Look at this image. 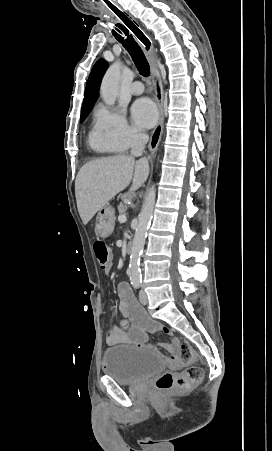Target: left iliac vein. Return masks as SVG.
<instances>
[{"label": "left iliac vein", "instance_id": "4c4485c4", "mask_svg": "<svg viewBox=\"0 0 272 451\" xmlns=\"http://www.w3.org/2000/svg\"><path fill=\"white\" fill-rule=\"evenodd\" d=\"M139 300L142 304L148 303L146 292L143 289L139 293Z\"/></svg>", "mask_w": 272, "mask_h": 451}]
</instances>
